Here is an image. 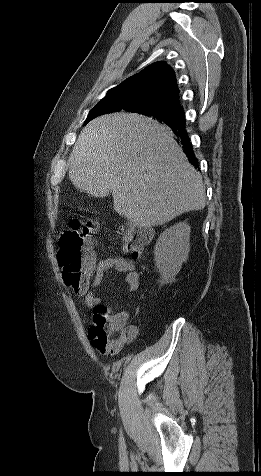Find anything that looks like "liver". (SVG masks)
<instances>
[{
    "label": "liver",
    "mask_w": 261,
    "mask_h": 476,
    "mask_svg": "<svg viewBox=\"0 0 261 476\" xmlns=\"http://www.w3.org/2000/svg\"><path fill=\"white\" fill-rule=\"evenodd\" d=\"M69 178L95 197L112 193L114 210L136 226L163 225L206 205L202 176L172 131L134 113L93 119L69 157Z\"/></svg>",
    "instance_id": "obj_1"
}]
</instances>
